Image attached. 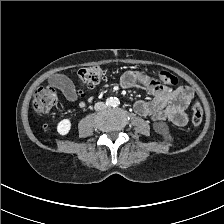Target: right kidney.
Returning a JSON list of instances; mask_svg holds the SVG:
<instances>
[{
    "label": "right kidney",
    "instance_id": "ca27d5eb",
    "mask_svg": "<svg viewBox=\"0 0 224 224\" xmlns=\"http://www.w3.org/2000/svg\"><path fill=\"white\" fill-rule=\"evenodd\" d=\"M70 129H71V121L69 119H63L57 125V131L62 136L67 135Z\"/></svg>",
    "mask_w": 224,
    "mask_h": 224
}]
</instances>
